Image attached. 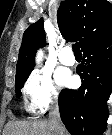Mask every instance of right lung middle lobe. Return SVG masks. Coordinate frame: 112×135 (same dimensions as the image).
<instances>
[{"mask_svg":"<svg viewBox=\"0 0 112 135\" xmlns=\"http://www.w3.org/2000/svg\"><path fill=\"white\" fill-rule=\"evenodd\" d=\"M28 76H29V74L22 75L20 77L15 78V81H16L15 88H16V97L17 98H19L22 95L20 89L23 87V84L27 80Z\"/></svg>","mask_w":112,"mask_h":135,"instance_id":"right-lung-middle-lobe-1","label":"right lung middle lobe"}]
</instances>
